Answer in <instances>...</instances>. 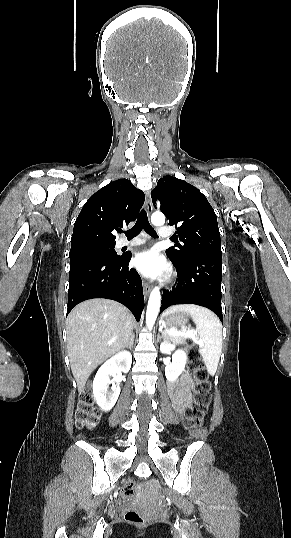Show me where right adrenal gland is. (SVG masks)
<instances>
[{"instance_id":"1","label":"right adrenal gland","mask_w":291,"mask_h":538,"mask_svg":"<svg viewBox=\"0 0 291 538\" xmlns=\"http://www.w3.org/2000/svg\"><path fill=\"white\" fill-rule=\"evenodd\" d=\"M133 343H134V334L131 335L130 341L125 345V347H129L131 349V347L133 346Z\"/></svg>"}]
</instances>
